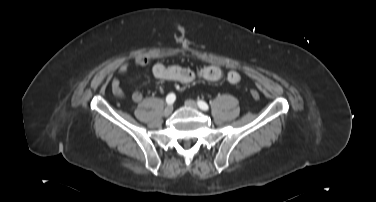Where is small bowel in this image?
<instances>
[{
  "label": "small bowel",
  "instance_id": "1",
  "mask_svg": "<svg viewBox=\"0 0 376 202\" xmlns=\"http://www.w3.org/2000/svg\"><path fill=\"white\" fill-rule=\"evenodd\" d=\"M134 64L137 67H146L150 64V60L143 56H137L134 59ZM129 69L128 63L120 65L118 72L122 75L126 74ZM151 72L156 79L165 81H175L183 84H189L197 79L206 81H220L224 78V71L220 65L209 64L198 69H191L177 64L155 63L152 65ZM228 81L236 88L241 85V76L235 71H230L227 76ZM111 91L114 96L124 98L125 93L119 78L115 77L111 81ZM134 102H140L143 99V94L140 91H135L131 95Z\"/></svg>",
  "mask_w": 376,
  "mask_h": 202
}]
</instances>
